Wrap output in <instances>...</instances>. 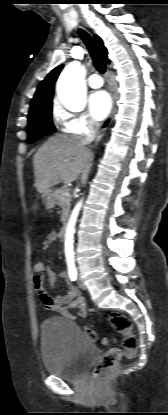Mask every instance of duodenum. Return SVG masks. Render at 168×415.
I'll return each mask as SVG.
<instances>
[{"label":"duodenum","mask_w":168,"mask_h":415,"mask_svg":"<svg viewBox=\"0 0 168 415\" xmlns=\"http://www.w3.org/2000/svg\"><path fill=\"white\" fill-rule=\"evenodd\" d=\"M66 232H67V224H66V223H64V224L61 226V228H60V230H59V233H60V235H61V236H65V235H66Z\"/></svg>","instance_id":"obj_1"}]
</instances>
